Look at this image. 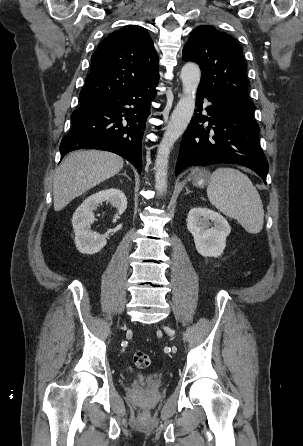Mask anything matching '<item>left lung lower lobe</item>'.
<instances>
[{
	"mask_svg": "<svg viewBox=\"0 0 303 446\" xmlns=\"http://www.w3.org/2000/svg\"><path fill=\"white\" fill-rule=\"evenodd\" d=\"M204 99L209 102L206 108ZM196 106L181 142L175 174L189 166L235 163L252 169L266 183L268 162L253 114L226 95L200 87ZM203 110L207 115H202ZM206 121L207 127L202 124Z\"/></svg>",
	"mask_w": 303,
	"mask_h": 446,
	"instance_id": "obj_1",
	"label": "left lung lower lobe"
}]
</instances>
